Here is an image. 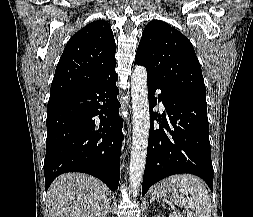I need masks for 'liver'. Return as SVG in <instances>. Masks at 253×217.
I'll list each match as a JSON object with an SVG mask.
<instances>
[{"label": "liver", "instance_id": "liver-1", "mask_svg": "<svg viewBox=\"0 0 253 217\" xmlns=\"http://www.w3.org/2000/svg\"><path fill=\"white\" fill-rule=\"evenodd\" d=\"M109 189L84 173L58 176L47 192L50 217H107Z\"/></svg>", "mask_w": 253, "mask_h": 217}]
</instances>
